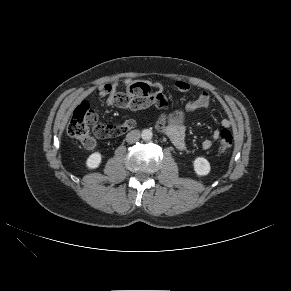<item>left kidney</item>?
<instances>
[{
  "label": "left kidney",
  "instance_id": "5707ae66",
  "mask_svg": "<svg viewBox=\"0 0 291 291\" xmlns=\"http://www.w3.org/2000/svg\"><path fill=\"white\" fill-rule=\"evenodd\" d=\"M193 165L195 173L199 176H205L211 170L210 163L203 157L196 158L193 162Z\"/></svg>",
  "mask_w": 291,
  "mask_h": 291
}]
</instances>
